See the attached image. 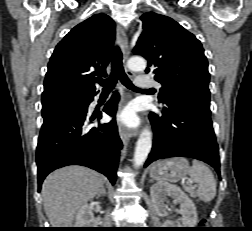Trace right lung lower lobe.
Here are the masks:
<instances>
[{"label":"right lung lower lobe","mask_w":252,"mask_h":231,"mask_svg":"<svg viewBox=\"0 0 252 231\" xmlns=\"http://www.w3.org/2000/svg\"><path fill=\"white\" fill-rule=\"evenodd\" d=\"M95 95L85 96L83 105L76 111L44 119L36 154L39 188L50 172L67 165L87 166L115 184L122 142L115 119L97 127L90 126L95 117L89 118L87 111ZM118 99L119 95L114 94L104 112L114 117Z\"/></svg>","instance_id":"right-lung-lower-lobe-1"}]
</instances>
